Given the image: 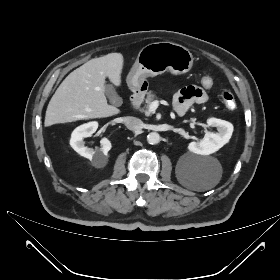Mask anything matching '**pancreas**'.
I'll return each mask as SVG.
<instances>
[{"mask_svg": "<svg viewBox=\"0 0 280 280\" xmlns=\"http://www.w3.org/2000/svg\"><path fill=\"white\" fill-rule=\"evenodd\" d=\"M155 98H156V95L152 91H149L147 93L146 104H145V107L142 109L143 112L148 114L149 105L153 102V100Z\"/></svg>", "mask_w": 280, "mask_h": 280, "instance_id": "pancreas-1", "label": "pancreas"}]
</instances>
